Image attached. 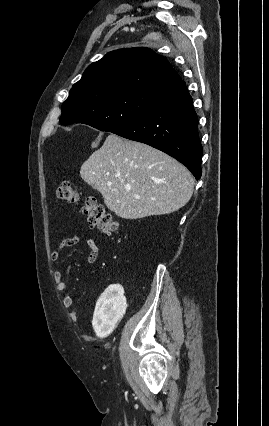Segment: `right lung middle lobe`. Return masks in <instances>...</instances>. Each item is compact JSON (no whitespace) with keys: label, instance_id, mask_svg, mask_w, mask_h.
Here are the masks:
<instances>
[{"label":"right lung middle lobe","instance_id":"obj_1","mask_svg":"<svg viewBox=\"0 0 269 426\" xmlns=\"http://www.w3.org/2000/svg\"><path fill=\"white\" fill-rule=\"evenodd\" d=\"M159 92L141 89L118 90L83 97L70 94L62 105L60 123H84L101 131L114 132L143 116Z\"/></svg>","mask_w":269,"mask_h":426}]
</instances>
